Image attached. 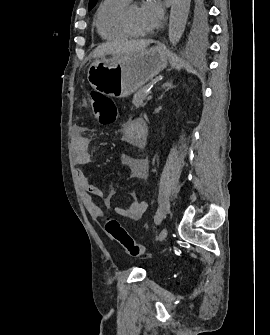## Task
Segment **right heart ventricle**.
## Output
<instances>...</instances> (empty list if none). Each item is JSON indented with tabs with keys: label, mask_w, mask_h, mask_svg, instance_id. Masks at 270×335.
Masks as SVG:
<instances>
[{
	"label": "right heart ventricle",
	"mask_w": 270,
	"mask_h": 335,
	"mask_svg": "<svg viewBox=\"0 0 270 335\" xmlns=\"http://www.w3.org/2000/svg\"><path fill=\"white\" fill-rule=\"evenodd\" d=\"M128 4L122 0H103L100 3L95 15L96 31L100 37L109 41L123 40L131 37L121 23V14Z\"/></svg>",
	"instance_id": "e07e8e85"
}]
</instances>
